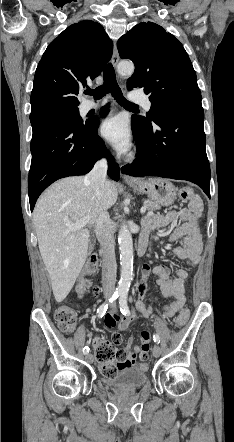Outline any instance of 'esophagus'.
Masks as SVG:
<instances>
[{"label": "esophagus", "instance_id": "1", "mask_svg": "<svg viewBox=\"0 0 234 442\" xmlns=\"http://www.w3.org/2000/svg\"><path fill=\"white\" fill-rule=\"evenodd\" d=\"M111 61L114 66H117V64L119 62V54H118L116 42H114L113 55H112ZM121 176L126 182H136L137 181V179L135 177L127 174L126 171L124 170V168H121Z\"/></svg>", "mask_w": 234, "mask_h": 442}]
</instances>
